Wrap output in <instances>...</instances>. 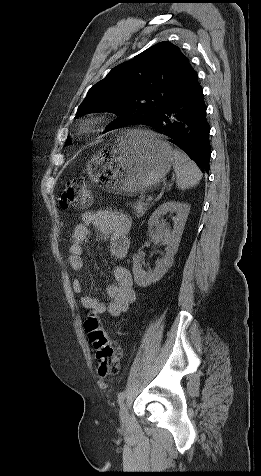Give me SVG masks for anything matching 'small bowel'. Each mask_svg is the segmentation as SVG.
Listing matches in <instances>:
<instances>
[{
    "label": "small bowel",
    "instance_id": "1",
    "mask_svg": "<svg viewBox=\"0 0 261 476\" xmlns=\"http://www.w3.org/2000/svg\"><path fill=\"white\" fill-rule=\"evenodd\" d=\"M82 218L83 222L74 227L68 246V264L72 270L78 272L83 269V245L91 239L94 232L109 240L111 259L121 260L126 256L129 248L128 233L131 229L128 215L114 210H98L85 212ZM112 272L115 282L107 288L109 302H101L89 295L81 297L82 306L95 315L108 313L117 317L126 312L136 299L130 271L122 265H115ZM72 288L76 294H81L82 281L75 279Z\"/></svg>",
    "mask_w": 261,
    "mask_h": 476
}]
</instances>
